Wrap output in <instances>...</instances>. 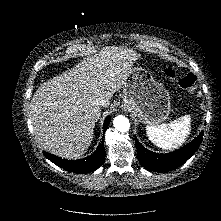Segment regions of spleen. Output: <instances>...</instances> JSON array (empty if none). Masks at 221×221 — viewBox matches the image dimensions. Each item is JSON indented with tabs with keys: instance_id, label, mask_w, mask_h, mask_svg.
<instances>
[{
	"instance_id": "spleen-1",
	"label": "spleen",
	"mask_w": 221,
	"mask_h": 221,
	"mask_svg": "<svg viewBox=\"0 0 221 221\" xmlns=\"http://www.w3.org/2000/svg\"><path fill=\"white\" fill-rule=\"evenodd\" d=\"M190 130V115L180 117L169 124L146 127L147 136L152 143L167 150L181 146L189 136Z\"/></svg>"
}]
</instances>
